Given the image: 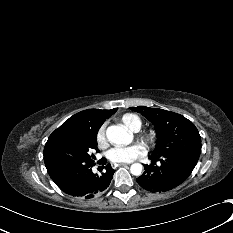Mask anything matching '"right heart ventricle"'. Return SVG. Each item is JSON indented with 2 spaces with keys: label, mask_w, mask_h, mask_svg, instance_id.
Returning a JSON list of instances; mask_svg holds the SVG:
<instances>
[{
  "label": "right heart ventricle",
  "mask_w": 233,
  "mask_h": 233,
  "mask_svg": "<svg viewBox=\"0 0 233 233\" xmlns=\"http://www.w3.org/2000/svg\"><path fill=\"white\" fill-rule=\"evenodd\" d=\"M118 120L131 131H138L143 124L142 118L135 113H125Z\"/></svg>",
  "instance_id": "e07e8e85"
}]
</instances>
